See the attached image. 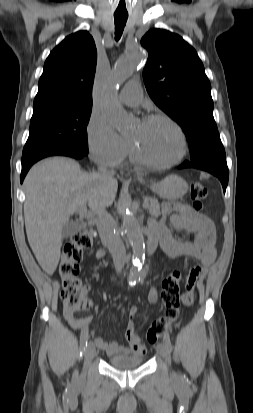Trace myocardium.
I'll use <instances>...</instances> for the list:
<instances>
[{
  "label": "myocardium",
  "mask_w": 253,
  "mask_h": 413,
  "mask_svg": "<svg viewBox=\"0 0 253 413\" xmlns=\"http://www.w3.org/2000/svg\"><path fill=\"white\" fill-rule=\"evenodd\" d=\"M158 120H162L167 122L170 126H172V128L176 131L179 140H180V150L177 154V156L167 162H155L152 161L150 159H148L147 157H145L141 150L139 149V147L133 142L131 141V146H132V151L134 154V157L136 158L137 161H139L141 164L151 167V168H156V169H167L170 167H173L177 164H179L184 157L186 156L187 150H188V142H187V138L186 135L182 129V127L170 116L166 115V114H152L146 118H144L142 120V123L146 124V123H150V122H154V121H158Z\"/></svg>",
  "instance_id": "obj_1"
}]
</instances>
